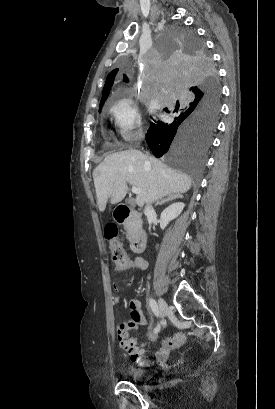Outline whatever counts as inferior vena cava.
I'll return each instance as SVG.
<instances>
[{"instance_id":"602c4592","label":"inferior vena cava","mask_w":275,"mask_h":409,"mask_svg":"<svg viewBox=\"0 0 275 409\" xmlns=\"http://www.w3.org/2000/svg\"><path fill=\"white\" fill-rule=\"evenodd\" d=\"M148 213H153L152 207H145V215H148Z\"/></svg>"}]
</instances>
